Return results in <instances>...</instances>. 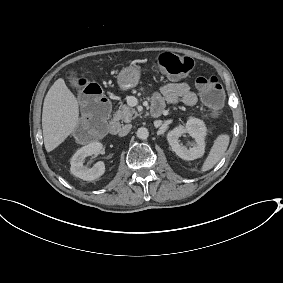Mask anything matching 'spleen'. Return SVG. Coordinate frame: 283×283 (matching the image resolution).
Here are the masks:
<instances>
[{"label": "spleen", "mask_w": 283, "mask_h": 283, "mask_svg": "<svg viewBox=\"0 0 283 283\" xmlns=\"http://www.w3.org/2000/svg\"><path fill=\"white\" fill-rule=\"evenodd\" d=\"M229 140H230L229 136L225 134L219 135L216 138L208 157L203 163L202 166L203 172L213 168V166L221 159V157L224 155L225 151L227 150V147L229 145Z\"/></svg>", "instance_id": "3e777b00"}]
</instances>
